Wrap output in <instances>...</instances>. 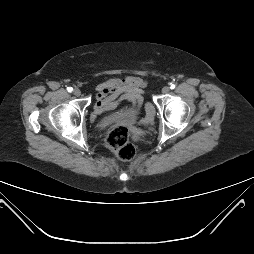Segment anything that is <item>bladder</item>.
<instances>
[{
	"instance_id": "obj_1",
	"label": "bladder",
	"mask_w": 254,
	"mask_h": 254,
	"mask_svg": "<svg viewBox=\"0 0 254 254\" xmlns=\"http://www.w3.org/2000/svg\"><path fill=\"white\" fill-rule=\"evenodd\" d=\"M140 113V109H136V110H133L131 112H128L126 114H124L123 116L127 119H135Z\"/></svg>"
}]
</instances>
